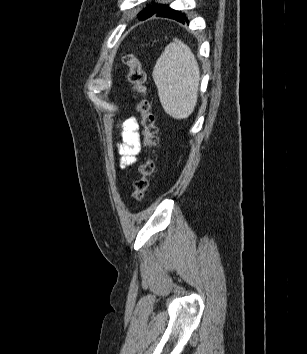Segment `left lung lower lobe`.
<instances>
[{"label":"left lung lower lobe","mask_w":307,"mask_h":354,"mask_svg":"<svg viewBox=\"0 0 307 354\" xmlns=\"http://www.w3.org/2000/svg\"><path fill=\"white\" fill-rule=\"evenodd\" d=\"M154 15H156L157 17H167V18L175 19L176 21H179L183 24H184V19L187 21L184 14H181L180 12L171 9L170 7H168L166 5L159 12L155 13Z\"/></svg>","instance_id":"0a47b994"}]
</instances>
